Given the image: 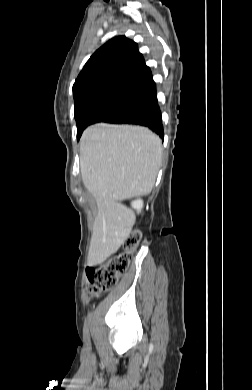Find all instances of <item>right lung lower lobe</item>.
<instances>
[{
    "instance_id": "98d812e1",
    "label": "right lung lower lobe",
    "mask_w": 252,
    "mask_h": 390,
    "mask_svg": "<svg viewBox=\"0 0 252 390\" xmlns=\"http://www.w3.org/2000/svg\"><path fill=\"white\" fill-rule=\"evenodd\" d=\"M107 123L136 124L150 128L161 138L164 137L162 117L157 101L156 89L131 106L108 118Z\"/></svg>"
}]
</instances>
